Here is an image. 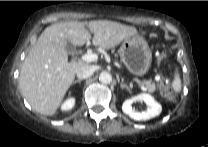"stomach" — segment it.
I'll list each match as a JSON object with an SVG mask.
<instances>
[{"instance_id":"obj_1","label":"stomach","mask_w":208,"mask_h":147,"mask_svg":"<svg viewBox=\"0 0 208 147\" xmlns=\"http://www.w3.org/2000/svg\"><path fill=\"white\" fill-rule=\"evenodd\" d=\"M118 51L122 62L132 73L143 75L147 72L151 63V51L141 35L136 34L124 40Z\"/></svg>"}]
</instances>
